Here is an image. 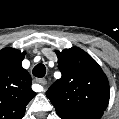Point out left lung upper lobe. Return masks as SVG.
Instances as JSON below:
<instances>
[{"mask_svg":"<svg viewBox=\"0 0 119 119\" xmlns=\"http://www.w3.org/2000/svg\"><path fill=\"white\" fill-rule=\"evenodd\" d=\"M62 77L47 97L62 119H100L107 108L108 79L97 62L78 47L56 51Z\"/></svg>","mask_w":119,"mask_h":119,"instance_id":"obj_1","label":"left lung upper lobe"}]
</instances>
